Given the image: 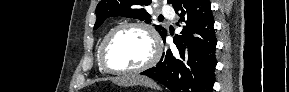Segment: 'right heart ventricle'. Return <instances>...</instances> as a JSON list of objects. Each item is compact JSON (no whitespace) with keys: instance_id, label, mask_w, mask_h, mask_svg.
I'll return each instance as SVG.
<instances>
[{"instance_id":"1","label":"right heart ventricle","mask_w":289,"mask_h":92,"mask_svg":"<svg viewBox=\"0 0 289 92\" xmlns=\"http://www.w3.org/2000/svg\"><path fill=\"white\" fill-rule=\"evenodd\" d=\"M109 32H110V30L107 31V32L103 35V37H102V39H101V41H100V43H99V45H98V48H97V61H98V66H99V69H100L101 72H105V71L103 70V68H102L101 65H100L99 53H100V48H101L102 42H103V40L105 39L106 35H107Z\"/></svg>"}]
</instances>
